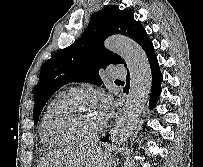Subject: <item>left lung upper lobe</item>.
<instances>
[{"label":"left lung upper lobe","mask_w":203,"mask_h":167,"mask_svg":"<svg viewBox=\"0 0 203 167\" xmlns=\"http://www.w3.org/2000/svg\"><path fill=\"white\" fill-rule=\"evenodd\" d=\"M114 34L128 36L141 47L150 40L130 10H120L113 5L94 13L82 36L72 45L57 51L43 64L34 94V124L46 102L63 85L71 82L101 85V68L105 69L110 64H124L118 54L103 46L104 40Z\"/></svg>","instance_id":"5c2ea615"}]
</instances>
